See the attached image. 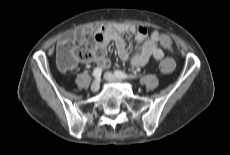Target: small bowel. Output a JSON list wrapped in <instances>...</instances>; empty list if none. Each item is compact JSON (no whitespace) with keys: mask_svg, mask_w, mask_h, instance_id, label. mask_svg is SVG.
<instances>
[{"mask_svg":"<svg viewBox=\"0 0 230 155\" xmlns=\"http://www.w3.org/2000/svg\"><path fill=\"white\" fill-rule=\"evenodd\" d=\"M127 33L134 34L138 44V49L131 58L132 64L136 67L146 65L151 57L162 60L165 57V51L172 49V41L166 34L158 30L148 34L147 29L141 25L127 24L79 28L62 37L59 45L77 42L80 45H88L92 49L101 48L102 54L95 57L93 63L101 69H106L110 66V60L106 55V46L109 43L115 44L121 59L129 58V52L122 37Z\"/></svg>","mask_w":230,"mask_h":155,"instance_id":"small-bowel-1","label":"small bowel"}]
</instances>
